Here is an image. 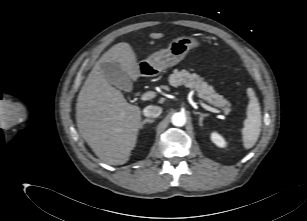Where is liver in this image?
<instances>
[{"label": "liver", "instance_id": "6515ba94", "mask_svg": "<svg viewBox=\"0 0 307 221\" xmlns=\"http://www.w3.org/2000/svg\"><path fill=\"white\" fill-rule=\"evenodd\" d=\"M160 39L162 33H151ZM102 63H117L133 81L140 75L136 55L129 43L120 42L105 52L89 73L76 104L79 133L94 153L109 165H123L137 143L141 109L105 79Z\"/></svg>", "mask_w": 307, "mask_h": 221}]
</instances>
